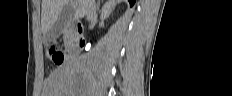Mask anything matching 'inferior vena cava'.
Returning <instances> with one entry per match:
<instances>
[{"label": "inferior vena cava", "mask_w": 232, "mask_h": 96, "mask_svg": "<svg viewBox=\"0 0 232 96\" xmlns=\"http://www.w3.org/2000/svg\"><path fill=\"white\" fill-rule=\"evenodd\" d=\"M86 16L87 20H90L96 16L95 0H90L89 5L87 6Z\"/></svg>", "instance_id": "1"}]
</instances>
